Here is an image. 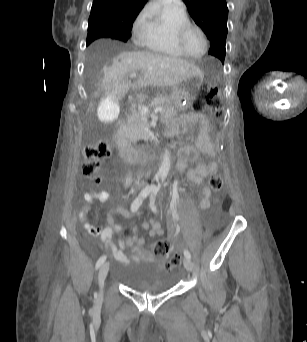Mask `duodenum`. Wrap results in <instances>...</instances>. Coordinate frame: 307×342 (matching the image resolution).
Wrapping results in <instances>:
<instances>
[{
    "instance_id": "obj_1",
    "label": "duodenum",
    "mask_w": 307,
    "mask_h": 342,
    "mask_svg": "<svg viewBox=\"0 0 307 342\" xmlns=\"http://www.w3.org/2000/svg\"><path fill=\"white\" fill-rule=\"evenodd\" d=\"M118 121L120 128L114 134V142L117 146L120 156L126 161L140 162L143 159L144 154L128 145L126 135L122 130V128H127L128 126L127 119L125 117H120Z\"/></svg>"
}]
</instances>
